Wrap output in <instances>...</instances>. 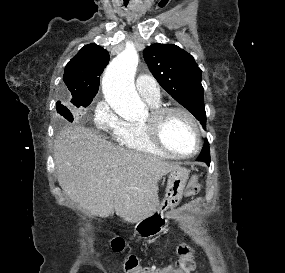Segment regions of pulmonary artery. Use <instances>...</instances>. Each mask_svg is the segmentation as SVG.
Segmentation results:
<instances>
[{"instance_id":"1","label":"pulmonary artery","mask_w":285,"mask_h":273,"mask_svg":"<svg viewBox=\"0 0 285 273\" xmlns=\"http://www.w3.org/2000/svg\"><path fill=\"white\" fill-rule=\"evenodd\" d=\"M136 88L140 96L150 104L160 102V88L152 76L139 74L136 78Z\"/></svg>"}]
</instances>
